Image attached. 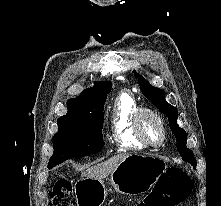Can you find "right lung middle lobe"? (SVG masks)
<instances>
[{
	"label": "right lung middle lobe",
	"instance_id": "obj_1",
	"mask_svg": "<svg viewBox=\"0 0 221 206\" xmlns=\"http://www.w3.org/2000/svg\"><path fill=\"white\" fill-rule=\"evenodd\" d=\"M103 109L66 114L57 120L58 132L53 137L54 154L49 160L48 168L67 159L102 150Z\"/></svg>",
	"mask_w": 221,
	"mask_h": 206
}]
</instances>
